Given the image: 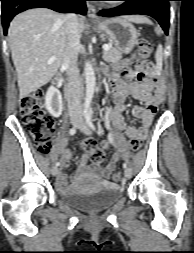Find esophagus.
<instances>
[{"label":"esophagus","instance_id":"esophagus-1","mask_svg":"<svg viewBox=\"0 0 194 253\" xmlns=\"http://www.w3.org/2000/svg\"><path fill=\"white\" fill-rule=\"evenodd\" d=\"M87 15L90 19H97L95 8L90 3H87Z\"/></svg>","mask_w":194,"mask_h":253}]
</instances>
